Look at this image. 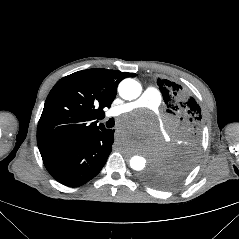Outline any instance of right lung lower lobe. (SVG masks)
I'll return each instance as SVG.
<instances>
[{"mask_svg": "<svg viewBox=\"0 0 239 239\" xmlns=\"http://www.w3.org/2000/svg\"><path fill=\"white\" fill-rule=\"evenodd\" d=\"M114 130L103 127L84 140L42 155L51 176L63 185L77 187L95 177L112 151Z\"/></svg>", "mask_w": 239, "mask_h": 239, "instance_id": "98d812e1", "label": "right lung lower lobe"}]
</instances>
